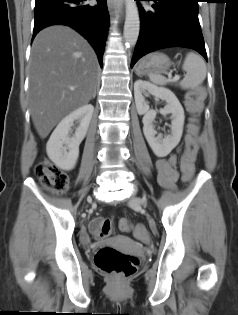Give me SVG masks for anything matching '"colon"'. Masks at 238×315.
<instances>
[{"mask_svg":"<svg viewBox=\"0 0 238 315\" xmlns=\"http://www.w3.org/2000/svg\"><path fill=\"white\" fill-rule=\"evenodd\" d=\"M204 98L203 90H195L187 98V107L196 117L202 110V100ZM199 126L197 119L194 118L189 127V133L185 139V149L180 160V170L185 180H189L194 170V159L198 150ZM35 173L42 184L56 192L62 193L69 186L68 175L59 167L49 161H42L35 167ZM119 228L122 231L133 229L137 238L147 239V229L138 224L135 227L127 219L119 222ZM90 232L95 238L108 237L112 232V222L109 218L99 217L90 224ZM96 266L104 273L109 275L115 281H124L130 278L136 272L138 258L132 255L124 254L112 247H101L95 255Z\"/></svg>","mask_w":238,"mask_h":315,"instance_id":"obj_1","label":"colon"}]
</instances>
